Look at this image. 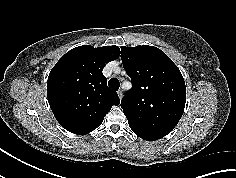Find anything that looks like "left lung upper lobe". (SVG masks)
I'll use <instances>...</instances> for the list:
<instances>
[{
	"label": "left lung upper lobe",
	"instance_id": "left-lung-upper-lobe-1",
	"mask_svg": "<svg viewBox=\"0 0 236 178\" xmlns=\"http://www.w3.org/2000/svg\"><path fill=\"white\" fill-rule=\"evenodd\" d=\"M121 59L133 84L121 101L130 128L167 135L185 107L186 86L180 70L153 46L121 47Z\"/></svg>",
	"mask_w": 236,
	"mask_h": 178
}]
</instances>
